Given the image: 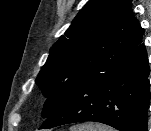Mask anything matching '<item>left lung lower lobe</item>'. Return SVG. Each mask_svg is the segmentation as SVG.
Listing matches in <instances>:
<instances>
[{
	"mask_svg": "<svg viewBox=\"0 0 151 131\" xmlns=\"http://www.w3.org/2000/svg\"><path fill=\"white\" fill-rule=\"evenodd\" d=\"M143 33L138 23L132 57L116 68L87 73L39 129L94 121L119 131H148L150 69Z\"/></svg>",
	"mask_w": 151,
	"mask_h": 131,
	"instance_id": "0a47b994",
	"label": "left lung lower lobe"
}]
</instances>
